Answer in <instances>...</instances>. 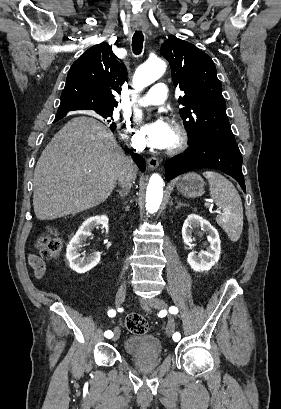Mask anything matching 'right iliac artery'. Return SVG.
<instances>
[{
    "mask_svg": "<svg viewBox=\"0 0 281 409\" xmlns=\"http://www.w3.org/2000/svg\"><path fill=\"white\" fill-rule=\"evenodd\" d=\"M108 315H109V317H114L115 315H116V311L115 310H109L108 311ZM104 335H105V337H107V338H112V336H113V332L112 331H110V330H108V331H106L105 333H104Z\"/></svg>",
    "mask_w": 281,
    "mask_h": 409,
    "instance_id": "obj_1",
    "label": "right iliac artery"
}]
</instances>
